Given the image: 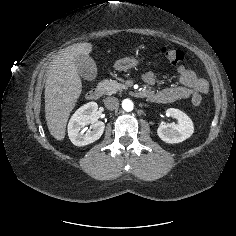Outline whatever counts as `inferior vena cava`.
Segmentation results:
<instances>
[{
    "label": "inferior vena cava",
    "instance_id": "obj_1",
    "mask_svg": "<svg viewBox=\"0 0 236 236\" xmlns=\"http://www.w3.org/2000/svg\"><path fill=\"white\" fill-rule=\"evenodd\" d=\"M104 105L108 110H115L119 107V100L116 97H107Z\"/></svg>",
    "mask_w": 236,
    "mask_h": 236
}]
</instances>
